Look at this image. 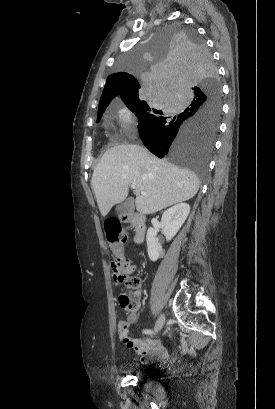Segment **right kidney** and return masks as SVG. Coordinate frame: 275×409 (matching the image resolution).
Here are the masks:
<instances>
[{
    "instance_id": "obj_1",
    "label": "right kidney",
    "mask_w": 275,
    "mask_h": 409,
    "mask_svg": "<svg viewBox=\"0 0 275 409\" xmlns=\"http://www.w3.org/2000/svg\"><path fill=\"white\" fill-rule=\"evenodd\" d=\"M189 213L190 207L187 205V202H179V205H174V207H170V209L163 213L160 229H162L166 241H171L175 237L183 223H185ZM157 233V229H153V227H150L147 231V253L150 261H157V259H161L165 255L164 249H162L158 239H156Z\"/></svg>"
}]
</instances>
